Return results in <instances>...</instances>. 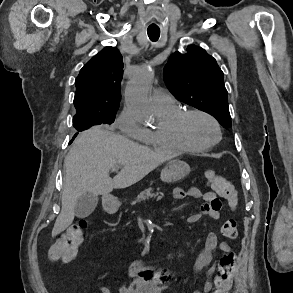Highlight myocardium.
I'll return each mask as SVG.
<instances>
[{
  "label": "myocardium",
  "instance_id": "obj_1",
  "mask_svg": "<svg viewBox=\"0 0 293 293\" xmlns=\"http://www.w3.org/2000/svg\"><path fill=\"white\" fill-rule=\"evenodd\" d=\"M191 115H200L208 119L215 127L217 132V137L215 140L211 141L210 143L204 144V145H196L191 143L186 135H185V122L187 118ZM172 130L175 136L179 141H181L183 144H185L187 147L194 151H205L213 147L214 145L218 144L222 139V128L218 120L211 115L210 113L201 110V109H187L182 110L173 120L172 123Z\"/></svg>",
  "mask_w": 293,
  "mask_h": 293
}]
</instances>
